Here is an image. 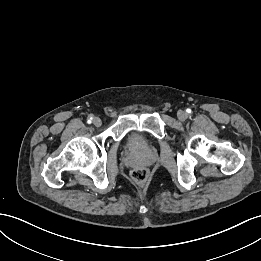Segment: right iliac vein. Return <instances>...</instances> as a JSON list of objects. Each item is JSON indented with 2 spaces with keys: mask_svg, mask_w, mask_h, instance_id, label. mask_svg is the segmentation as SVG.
I'll return each mask as SVG.
<instances>
[{
  "mask_svg": "<svg viewBox=\"0 0 261 261\" xmlns=\"http://www.w3.org/2000/svg\"><path fill=\"white\" fill-rule=\"evenodd\" d=\"M92 122L96 127H100L102 124V121L99 117H95Z\"/></svg>",
  "mask_w": 261,
  "mask_h": 261,
  "instance_id": "1",
  "label": "right iliac vein"
}]
</instances>
